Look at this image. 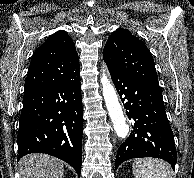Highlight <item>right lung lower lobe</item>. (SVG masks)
<instances>
[{
	"mask_svg": "<svg viewBox=\"0 0 194 178\" xmlns=\"http://www.w3.org/2000/svg\"><path fill=\"white\" fill-rule=\"evenodd\" d=\"M82 131L80 76L24 93L17 138L18 160L29 153H46L70 164L80 176Z\"/></svg>",
	"mask_w": 194,
	"mask_h": 178,
	"instance_id": "98d812e1",
	"label": "right lung lower lobe"
}]
</instances>
